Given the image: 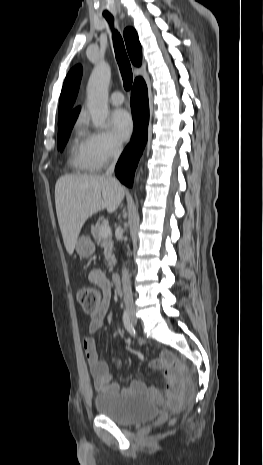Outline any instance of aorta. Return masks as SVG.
I'll return each mask as SVG.
<instances>
[{"label": "aorta", "mask_w": 263, "mask_h": 465, "mask_svg": "<svg viewBox=\"0 0 263 465\" xmlns=\"http://www.w3.org/2000/svg\"><path fill=\"white\" fill-rule=\"evenodd\" d=\"M111 78V68L105 62H100L92 71L87 85V107L91 114L93 126L105 128L108 109V86Z\"/></svg>", "instance_id": "aorta-1"}]
</instances>
